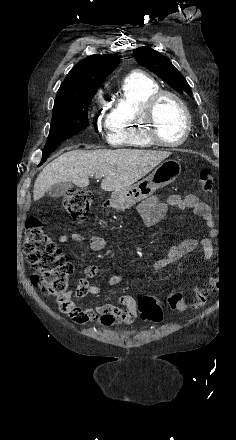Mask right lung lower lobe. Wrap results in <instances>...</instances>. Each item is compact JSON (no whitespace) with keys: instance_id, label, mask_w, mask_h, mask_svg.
I'll return each instance as SVG.
<instances>
[{"instance_id":"98d812e1","label":"right lung lower lobe","mask_w":236,"mask_h":440,"mask_svg":"<svg viewBox=\"0 0 236 440\" xmlns=\"http://www.w3.org/2000/svg\"><path fill=\"white\" fill-rule=\"evenodd\" d=\"M58 146H53V147H47V148H44L43 149V154H42V160H41V163L39 164V166L41 165V164H43L46 160H47V158H48V156L57 148Z\"/></svg>"}]
</instances>
